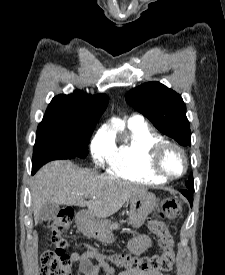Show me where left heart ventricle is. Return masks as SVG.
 Returning a JSON list of instances; mask_svg holds the SVG:
<instances>
[{
	"mask_svg": "<svg viewBox=\"0 0 225 275\" xmlns=\"http://www.w3.org/2000/svg\"><path fill=\"white\" fill-rule=\"evenodd\" d=\"M164 166L167 171L177 174L183 168V161L180 154L175 150H169L164 158Z\"/></svg>",
	"mask_w": 225,
	"mask_h": 275,
	"instance_id": "left-heart-ventricle-1",
	"label": "left heart ventricle"
}]
</instances>
